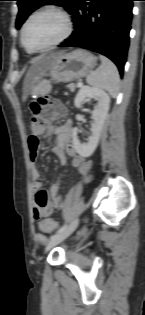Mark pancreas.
Masks as SVG:
<instances>
[{
    "label": "pancreas",
    "mask_w": 145,
    "mask_h": 315,
    "mask_svg": "<svg viewBox=\"0 0 145 315\" xmlns=\"http://www.w3.org/2000/svg\"><path fill=\"white\" fill-rule=\"evenodd\" d=\"M68 89H70V91H75L76 85L74 83H70L66 86Z\"/></svg>",
    "instance_id": "1"
}]
</instances>
